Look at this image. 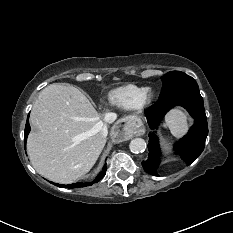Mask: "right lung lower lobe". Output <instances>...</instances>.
Wrapping results in <instances>:
<instances>
[{"mask_svg":"<svg viewBox=\"0 0 233 233\" xmlns=\"http://www.w3.org/2000/svg\"><path fill=\"white\" fill-rule=\"evenodd\" d=\"M29 118V116H28ZM30 132V125H29V120L27 119L26 122V126H25V131H24V146H26V140H27V136L28 133ZM106 174V165L103 167V170L101 171V173L97 176V178L90 183H73V184H69V185H63V184H55L58 187L61 188H77V187H85V186H89L92 185L93 183L98 182L100 179H102V177Z\"/></svg>","mask_w":233,"mask_h":233,"instance_id":"right-lung-lower-lobe-1","label":"right lung lower lobe"}]
</instances>
